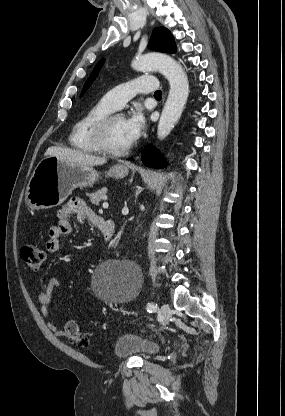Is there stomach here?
I'll return each instance as SVG.
<instances>
[{"instance_id": "obj_1", "label": "stomach", "mask_w": 285, "mask_h": 416, "mask_svg": "<svg viewBox=\"0 0 285 416\" xmlns=\"http://www.w3.org/2000/svg\"><path fill=\"white\" fill-rule=\"evenodd\" d=\"M129 168L125 164L112 166L109 178H125ZM99 178L92 166L70 164L56 156L44 158L36 166L26 188L25 202L32 210H48L60 206L75 188L93 186Z\"/></svg>"}]
</instances>
